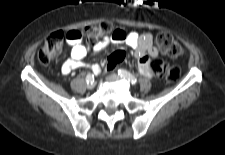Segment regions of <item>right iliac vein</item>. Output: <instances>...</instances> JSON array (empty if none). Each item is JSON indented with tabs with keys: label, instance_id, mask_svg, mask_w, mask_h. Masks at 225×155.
Segmentation results:
<instances>
[{
	"label": "right iliac vein",
	"instance_id": "right-iliac-vein-1",
	"mask_svg": "<svg viewBox=\"0 0 225 155\" xmlns=\"http://www.w3.org/2000/svg\"><path fill=\"white\" fill-rule=\"evenodd\" d=\"M94 86H95L94 81H90V82L87 83V88H88V89H93Z\"/></svg>",
	"mask_w": 225,
	"mask_h": 155
}]
</instances>
